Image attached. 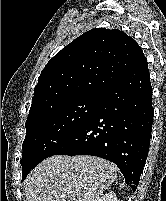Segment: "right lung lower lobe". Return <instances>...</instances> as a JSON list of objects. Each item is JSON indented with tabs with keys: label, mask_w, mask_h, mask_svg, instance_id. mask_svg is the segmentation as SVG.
<instances>
[{
	"label": "right lung lower lobe",
	"mask_w": 166,
	"mask_h": 201,
	"mask_svg": "<svg viewBox=\"0 0 166 201\" xmlns=\"http://www.w3.org/2000/svg\"><path fill=\"white\" fill-rule=\"evenodd\" d=\"M154 110L147 60L143 57L100 97L94 112L53 155H92L115 163L136 190L146 162Z\"/></svg>",
	"instance_id": "right-lung-lower-lobe-1"
}]
</instances>
